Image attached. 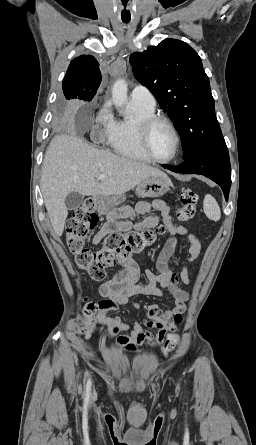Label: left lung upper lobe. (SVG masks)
Segmentation results:
<instances>
[{"instance_id":"obj_1","label":"left lung upper lobe","mask_w":256,"mask_h":445,"mask_svg":"<svg viewBox=\"0 0 256 445\" xmlns=\"http://www.w3.org/2000/svg\"><path fill=\"white\" fill-rule=\"evenodd\" d=\"M135 78L146 86L174 121L183 159L210 148L226 147L201 58L187 43L165 39L130 56Z\"/></svg>"}]
</instances>
